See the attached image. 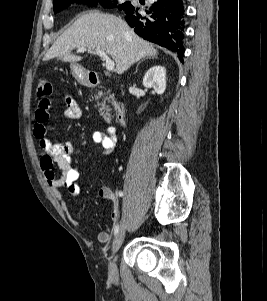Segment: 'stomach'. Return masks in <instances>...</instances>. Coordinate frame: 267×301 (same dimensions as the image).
I'll use <instances>...</instances> for the list:
<instances>
[{
	"mask_svg": "<svg viewBox=\"0 0 267 301\" xmlns=\"http://www.w3.org/2000/svg\"><path fill=\"white\" fill-rule=\"evenodd\" d=\"M70 68H71V73H72L73 77L77 80L78 83H80V84L87 83L88 74H87V71L83 67H81L77 64H71Z\"/></svg>",
	"mask_w": 267,
	"mask_h": 301,
	"instance_id": "0dacf381",
	"label": "stomach"
}]
</instances>
